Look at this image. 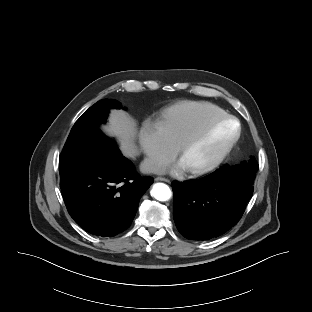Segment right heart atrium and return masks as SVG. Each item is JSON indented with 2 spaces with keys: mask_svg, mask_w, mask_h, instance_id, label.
Wrapping results in <instances>:
<instances>
[{
  "mask_svg": "<svg viewBox=\"0 0 312 312\" xmlns=\"http://www.w3.org/2000/svg\"><path fill=\"white\" fill-rule=\"evenodd\" d=\"M139 142L145 155L146 168L161 170L175 155L177 146L170 140L160 119L148 118L141 126Z\"/></svg>",
  "mask_w": 312,
  "mask_h": 312,
  "instance_id": "d8ad5b80",
  "label": "right heart atrium"
}]
</instances>
